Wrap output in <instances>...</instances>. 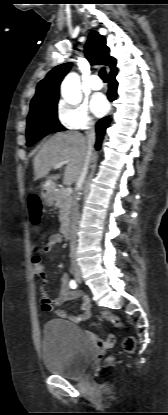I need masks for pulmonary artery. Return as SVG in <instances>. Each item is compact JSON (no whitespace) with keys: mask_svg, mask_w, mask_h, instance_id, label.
<instances>
[{"mask_svg":"<svg viewBox=\"0 0 168 415\" xmlns=\"http://www.w3.org/2000/svg\"><path fill=\"white\" fill-rule=\"evenodd\" d=\"M89 86L92 90H100L103 87V83L98 75H92L90 78Z\"/></svg>","mask_w":168,"mask_h":415,"instance_id":"e3ab8cb5","label":"pulmonary artery"}]
</instances>
